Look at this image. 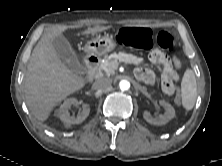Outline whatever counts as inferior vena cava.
Wrapping results in <instances>:
<instances>
[{
  "label": "inferior vena cava",
  "instance_id": "inferior-vena-cava-1",
  "mask_svg": "<svg viewBox=\"0 0 222 166\" xmlns=\"http://www.w3.org/2000/svg\"><path fill=\"white\" fill-rule=\"evenodd\" d=\"M112 79L104 77L95 81L94 86L97 89L109 90L111 88Z\"/></svg>",
  "mask_w": 222,
  "mask_h": 166
}]
</instances>
